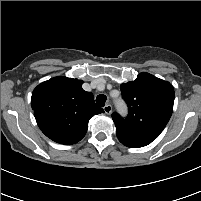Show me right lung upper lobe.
I'll return each mask as SVG.
<instances>
[{
	"label": "right lung upper lobe",
	"mask_w": 201,
	"mask_h": 201,
	"mask_svg": "<svg viewBox=\"0 0 201 201\" xmlns=\"http://www.w3.org/2000/svg\"><path fill=\"white\" fill-rule=\"evenodd\" d=\"M82 80L55 77L39 84L31 105L41 131L60 144H75L86 134L88 122L104 110L93 94L82 89Z\"/></svg>",
	"instance_id": "cb5924a9"
}]
</instances>
